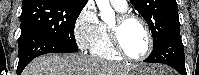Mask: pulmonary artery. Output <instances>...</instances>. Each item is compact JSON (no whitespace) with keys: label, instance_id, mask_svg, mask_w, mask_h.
I'll return each instance as SVG.
<instances>
[{"label":"pulmonary artery","instance_id":"e3ab8cb5","mask_svg":"<svg viewBox=\"0 0 199 75\" xmlns=\"http://www.w3.org/2000/svg\"><path fill=\"white\" fill-rule=\"evenodd\" d=\"M110 2L116 9H120V10L127 9V1L125 0H111Z\"/></svg>","mask_w":199,"mask_h":75}]
</instances>
